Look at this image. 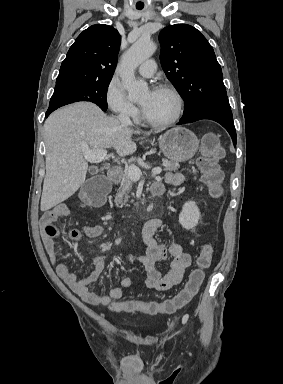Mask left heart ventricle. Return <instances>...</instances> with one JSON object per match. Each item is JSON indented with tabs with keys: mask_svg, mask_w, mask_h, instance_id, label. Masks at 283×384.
Listing matches in <instances>:
<instances>
[{
	"mask_svg": "<svg viewBox=\"0 0 283 384\" xmlns=\"http://www.w3.org/2000/svg\"><path fill=\"white\" fill-rule=\"evenodd\" d=\"M142 114L152 121H165L175 112V102L166 91H146L138 100Z\"/></svg>",
	"mask_w": 283,
	"mask_h": 384,
	"instance_id": "1",
	"label": "left heart ventricle"
}]
</instances>
